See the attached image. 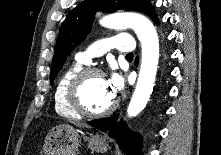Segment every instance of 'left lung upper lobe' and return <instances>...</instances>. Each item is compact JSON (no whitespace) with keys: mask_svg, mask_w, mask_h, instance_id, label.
I'll list each match as a JSON object with an SVG mask.
<instances>
[{"mask_svg":"<svg viewBox=\"0 0 221 155\" xmlns=\"http://www.w3.org/2000/svg\"><path fill=\"white\" fill-rule=\"evenodd\" d=\"M117 10H135L149 15L150 0H84L72 9L63 21L52 61L50 84L64 65L67 56L89 33L95 12L112 13Z\"/></svg>","mask_w":221,"mask_h":155,"instance_id":"1","label":"left lung upper lobe"}]
</instances>
